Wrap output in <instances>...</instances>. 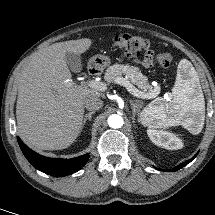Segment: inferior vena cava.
Here are the masks:
<instances>
[{
    "mask_svg": "<svg viewBox=\"0 0 215 215\" xmlns=\"http://www.w3.org/2000/svg\"><path fill=\"white\" fill-rule=\"evenodd\" d=\"M103 106V101L97 96H89L84 99V107L89 111H97Z\"/></svg>",
    "mask_w": 215,
    "mask_h": 215,
    "instance_id": "1",
    "label": "inferior vena cava"
}]
</instances>
